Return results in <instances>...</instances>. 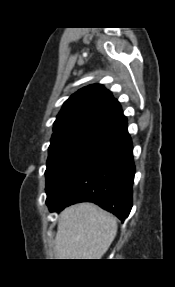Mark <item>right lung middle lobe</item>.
Segmentation results:
<instances>
[{
	"label": "right lung middle lobe",
	"mask_w": 175,
	"mask_h": 287,
	"mask_svg": "<svg viewBox=\"0 0 175 287\" xmlns=\"http://www.w3.org/2000/svg\"><path fill=\"white\" fill-rule=\"evenodd\" d=\"M116 127L87 124L54 131L47 160L46 193L92 148L113 132Z\"/></svg>",
	"instance_id": "right-lung-middle-lobe-1"
}]
</instances>
